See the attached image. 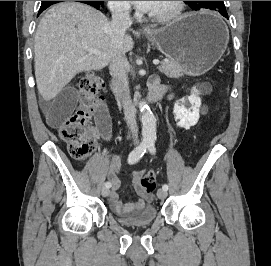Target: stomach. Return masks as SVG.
<instances>
[{
	"instance_id": "stomach-1",
	"label": "stomach",
	"mask_w": 271,
	"mask_h": 266,
	"mask_svg": "<svg viewBox=\"0 0 271 266\" xmlns=\"http://www.w3.org/2000/svg\"><path fill=\"white\" fill-rule=\"evenodd\" d=\"M145 36L190 76L210 70L225 52L229 41V32L222 19L209 12L183 15L146 32Z\"/></svg>"
}]
</instances>
